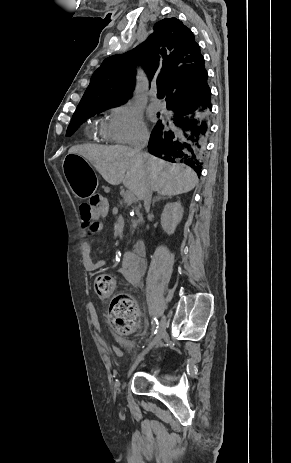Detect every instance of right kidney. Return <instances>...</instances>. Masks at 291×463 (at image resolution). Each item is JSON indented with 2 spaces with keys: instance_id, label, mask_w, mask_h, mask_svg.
<instances>
[{
  "instance_id": "ca27d5eb",
  "label": "right kidney",
  "mask_w": 291,
  "mask_h": 463,
  "mask_svg": "<svg viewBox=\"0 0 291 463\" xmlns=\"http://www.w3.org/2000/svg\"><path fill=\"white\" fill-rule=\"evenodd\" d=\"M183 217V207L180 202L168 203L161 214V224L164 231L171 235Z\"/></svg>"
}]
</instances>
